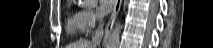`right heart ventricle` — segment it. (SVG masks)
Instances as JSON below:
<instances>
[{
  "label": "right heart ventricle",
  "instance_id": "1",
  "mask_svg": "<svg viewBox=\"0 0 213 48\" xmlns=\"http://www.w3.org/2000/svg\"><path fill=\"white\" fill-rule=\"evenodd\" d=\"M66 30L70 34H78L82 32L80 12L74 11L69 8L66 17Z\"/></svg>",
  "mask_w": 213,
  "mask_h": 48
}]
</instances>
